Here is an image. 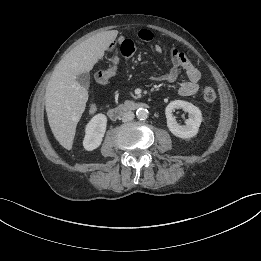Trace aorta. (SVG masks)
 I'll list each match as a JSON object with an SVG mask.
<instances>
[{
    "instance_id": "1",
    "label": "aorta",
    "mask_w": 261,
    "mask_h": 261,
    "mask_svg": "<svg viewBox=\"0 0 261 261\" xmlns=\"http://www.w3.org/2000/svg\"><path fill=\"white\" fill-rule=\"evenodd\" d=\"M136 116L140 120H145L148 118V110L146 108H139L136 111Z\"/></svg>"
}]
</instances>
